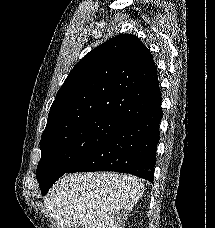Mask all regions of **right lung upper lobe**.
<instances>
[{
    "label": "right lung upper lobe",
    "mask_w": 215,
    "mask_h": 228,
    "mask_svg": "<svg viewBox=\"0 0 215 228\" xmlns=\"http://www.w3.org/2000/svg\"><path fill=\"white\" fill-rule=\"evenodd\" d=\"M160 104L151 52L137 37L121 34L73 67L50 108L43 134L97 116L129 121Z\"/></svg>",
    "instance_id": "right-lung-upper-lobe-1"
}]
</instances>
